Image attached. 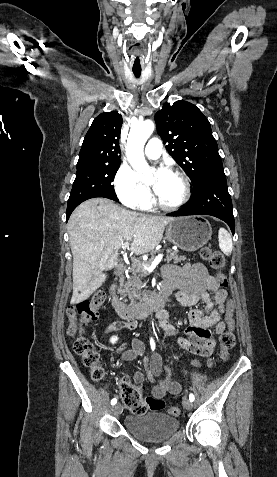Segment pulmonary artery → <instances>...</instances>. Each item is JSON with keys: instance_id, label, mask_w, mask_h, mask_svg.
Listing matches in <instances>:
<instances>
[{"instance_id": "e3ab8cb5", "label": "pulmonary artery", "mask_w": 277, "mask_h": 477, "mask_svg": "<svg viewBox=\"0 0 277 477\" xmlns=\"http://www.w3.org/2000/svg\"><path fill=\"white\" fill-rule=\"evenodd\" d=\"M161 152H162L161 141L158 138H151L145 147L146 157L150 159H156L161 155Z\"/></svg>"}]
</instances>
